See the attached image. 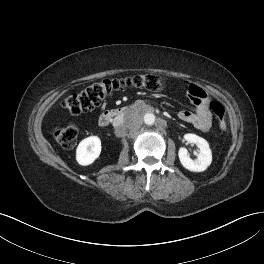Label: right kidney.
Wrapping results in <instances>:
<instances>
[{
  "label": "right kidney",
  "instance_id": "right-kidney-1",
  "mask_svg": "<svg viewBox=\"0 0 264 264\" xmlns=\"http://www.w3.org/2000/svg\"><path fill=\"white\" fill-rule=\"evenodd\" d=\"M101 153V140L97 136L83 139L76 149V160L80 165L92 164Z\"/></svg>",
  "mask_w": 264,
  "mask_h": 264
}]
</instances>
